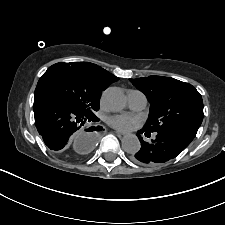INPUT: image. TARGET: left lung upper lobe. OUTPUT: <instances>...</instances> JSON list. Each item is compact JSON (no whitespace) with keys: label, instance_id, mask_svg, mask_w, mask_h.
<instances>
[{"label":"left lung upper lobe","instance_id":"obj_1","mask_svg":"<svg viewBox=\"0 0 225 225\" xmlns=\"http://www.w3.org/2000/svg\"><path fill=\"white\" fill-rule=\"evenodd\" d=\"M130 81L151 104L145 130L158 133L188 125L200 127L203 101L191 84L155 75Z\"/></svg>","mask_w":225,"mask_h":225}]
</instances>
